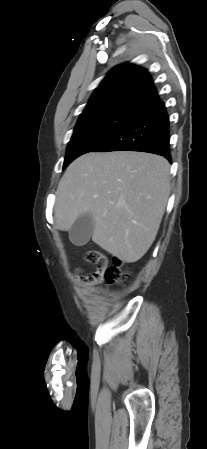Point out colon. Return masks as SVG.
<instances>
[{"label":"colon","instance_id":"1","mask_svg":"<svg viewBox=\"0 0 207 449\" xmlns=\"http://www.w3.org/2000/svg\"><path fill=\"white\" fill-rule=\"evenodd\" d=\"M84 260L96 266V272L92 276V280L104 277L107 284H115L126 282L128 274L124 273L120 267L121 262L118 259L114 260L112 265H108V260L104 254L97 250H89L84 254Z\"/></svg>","mask_w":207,"mask_h":449}]
</instances>
